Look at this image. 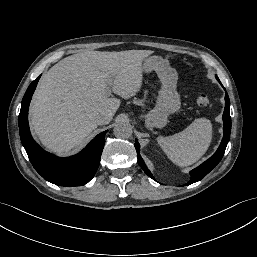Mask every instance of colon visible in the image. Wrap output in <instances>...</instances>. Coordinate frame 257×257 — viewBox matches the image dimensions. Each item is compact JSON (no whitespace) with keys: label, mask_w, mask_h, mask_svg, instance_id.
<instances>
[{"label":"colon","mask_w":257,"mask_h":257,"mask_svg":"<svg viewBox=\"0 0 257 257\" xmlns=\"http://www.w3.org/2000/svg\"><path fill=\"white\" fill-rule=\"evenodd\" d=\"M209 97L206 95V94H200L198 97H197V100H196V103H197V106L200 108V109H205L208 107L209 105Z\"/></svg>","instance_id":"1"}]
</instances>
